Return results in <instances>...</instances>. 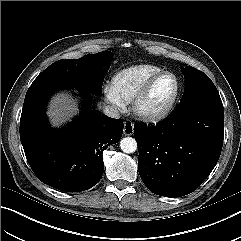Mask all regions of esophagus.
I'll list each match as a JSON object with an SVG mask.
<instances>
[{"label":"esophagus","instance_id":"esophagus-1","mask_svg":"<svg viewBox=\"0 0 241 241\" xmlns=\"http://www.w3.org/2000/svg\"><path fill=\"white\" fill-rule=\"evenodd\" d=\"M123 132L125 135L130 136L134 132V125L131 121H125L124 122V129Z\"/></svg>","mask_w":241,"mask_h":241}]
</instances>
